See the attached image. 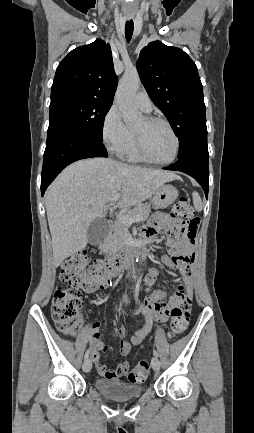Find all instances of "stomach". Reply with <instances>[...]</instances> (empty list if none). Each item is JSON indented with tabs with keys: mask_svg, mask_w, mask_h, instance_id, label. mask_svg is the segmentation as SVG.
<instances>
[{
	"mask_svg": "<svg viewBox=\"0 0 254 433\" xmlns=\"http://www.w3.org/2000/svg\"><path fill=\"white\" fill-rule=\"evenodd\" d=\"M178 197V190L170 184H162L153 194L152 204L156 209L170 206Z\"/></svg>",
	"mask_w": 254,
	"mask_h": 433,
	"instance_id": "1",
	"label": "stomach"
}]
</instances>
